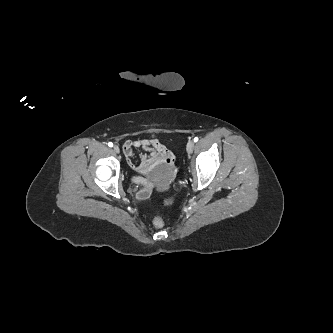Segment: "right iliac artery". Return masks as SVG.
I'll return each mask as SVG.
<instances>
[{
  "instance_id": "obj_1",
  "label": "right iliac artery",
  "mask_w": 333,
  "mask_h": 333,
  "mask_svg": "<svg viewBox=\"0 0 333 333\" xmlns=\"http://www.w3.org/2000/svg\"><path fill=\"white\" fill-rule=\"evenodd\" d=\"M108 146H109V147H112V146H113V143H112V142H109V143H108Z\"/></svg>"
}]
</instances>
